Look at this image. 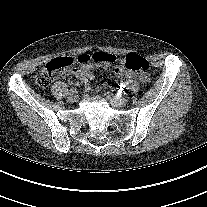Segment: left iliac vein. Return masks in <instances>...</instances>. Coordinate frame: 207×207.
I'll list each match as a JSON object with an SVG mask.
<instances>
[{
    "label": "left iliac vein",
    "instance_id": "4c4485c4",
    "mask_svg": "<svg viewBox=\"0 0 207 207\" xmlns=\"http://www.w3.org/2000/svg\"><path fill=\"white\" fill-rule=\"evenodd\" d=\"M106 99L110 102L113 107H122L125 106L127 100L122 99L120 96L109 94L106 96Z\"/></svg>",
    "mask_w": 207,
    "mask_h": 207
}]
</instances>
